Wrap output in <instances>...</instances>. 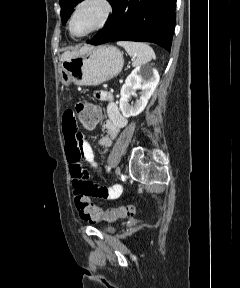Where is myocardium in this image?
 <instances>
[{
    "label": "myocardium",
    "instance_id": "f54148a6",
    "mask_svg": "<svg viewBox=\"0 0 240 288\" xmlns=\"http://www.w3.org/2000/svg\"><path fill=\"white\" fill-rule=\"evenodd\" d=\"M89 3H97L99 5H101L102 9H103V14H102V17H101V20L100 22L98 23V25L96 27H94L93 29H91L90 31H88L87 33L85 34H82V35H76L73 30H72V22H73V19L76 15V13L79 11V9L81 7H83L84 5L86 4H89ZM112 13H113V5L112 3L109 1V0H81L74 8L71 16H70V19H69V22H68V29H69V32L70 34L75 37V38H84V37H87L93 33H96L100 30H102L109 22L111 16H112Z\"/></svg>",
    "mask_w": 240,
    "mask_h": 288
}]
</instances>
